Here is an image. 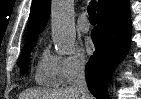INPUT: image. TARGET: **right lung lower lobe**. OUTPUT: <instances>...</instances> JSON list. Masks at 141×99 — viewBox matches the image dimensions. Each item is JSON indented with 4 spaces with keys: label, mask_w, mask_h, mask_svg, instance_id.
I'll return each instance as SVG.
<instances>
[{
    "label": "right lung lower lobe",
    "mask_w": 141,
    "mask_h": 99,
    "mask_svg": "<svg viewBox=\"0 0 141 99\" xmlns=\"http://www.w3.org/2000/svg\"><path fill=\"white\" fill-rule=\"evenodd\" d=\"M130 30L127 0H108L99 8L91 33L96 50L85 67L89 90L97 99H109L107 82L128 51Z\"/></svg>",
    "instance_id": "obj_1"
}]
</instances>
